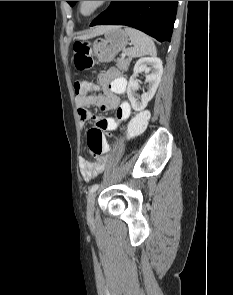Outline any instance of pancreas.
<instances>
[{
  "mask_svg": "<svg viewBox=\"0 0 233 295\" xmlns=\"http://www.w3.org/2000/svg\"><path fill=\"white\" fill-rule=\"evenodd\" d=\"M131 62V58H127V59H120L117 63V67L121 70L126 71L130 65Z\"/></svg>",
  "mask_w": 233,
  "mask_h": 295,
  "instance_id": "obj_1",
  "label": "pancreas"
}]
</instances>
